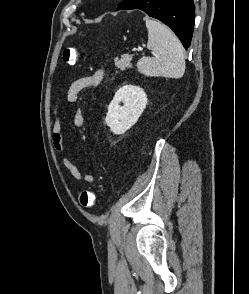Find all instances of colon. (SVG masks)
<instances>
[{"label":"colon","instance_id":"colon-1","mask_svg":"<svg viewBox=\"0 0 249 294\" xmlns=\"http://www.w3.org/2000/svg\"><path fill=\"white\" fill-rule=\"evenodd\" d=\"M80 57V50L76 47H66L63 50L62 58L63 61L69 65H74L77 63ZM80 204L85 208H91L94 206L96 201V194L90 190H84L81 192Z\"/></svg>","mask_w":249,"mask_h":294}]
</instances>
